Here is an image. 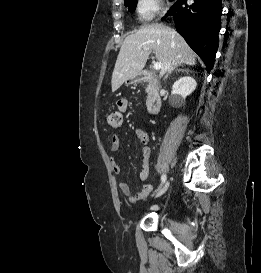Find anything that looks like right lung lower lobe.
I'll list each match as a JSON object with an SVG mask.
<instances>
[{
  "label": "right lung lower lobe",
  "mask_w": 261,
  "mask_h": 273,
  "mask_svg": "<svg viewBox=\"0 0 261 273\" xmlns=\"http://www.w3.org/2000/svg\"><path fill=\"white\" fill-rule=\"evenodd\" d=\"M178 0L162 19L173 16L177 32L201 57L208 72L214 65L220 30L221 0Z\"/></svg>",
  "instance_id": "98d812e1"
}]
</instances>
